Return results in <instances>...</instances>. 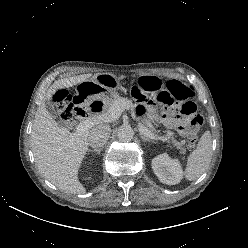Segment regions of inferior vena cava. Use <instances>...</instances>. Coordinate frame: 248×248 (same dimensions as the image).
I'll use <instances>...</instances> for the list:
<instances>
[{
  "label": "inferior vena cava",
  "mask_w": 248,
  "mask_h": 248,
  "mask_svg": "<svg viewBox=\"0 0 248 248\" xmlns=\"http://www.w3.org/2000/svg\"><path fill=\"white\" fill-rule=\"evenodd\" d=\"M111 133V128L107 124H99L90 130L88 144L92 148H99L106 144Z\"/></svg>",
  "instance_id": "602c4592"
}]
</instances>
